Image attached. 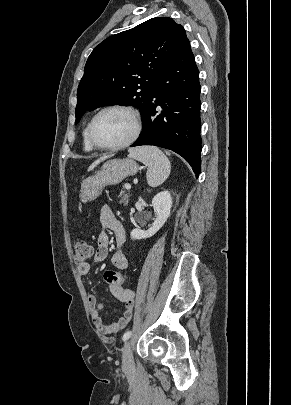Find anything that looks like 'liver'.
<instances>
[{
  "label": "liver",
  "mask_w": 291,
  "mask_h": 405,
  "mask_svg": "<svg viewBox=\"0 0 291 405\" xmlns=\"http://www.w3.org/2000/svg\"><path fill=\"white\" fill-rule=\"evenodd\" d=\"M106 157H102L96 160L88 169V171L93 170L100 162H102Z\"/></svg>",
  "instance_id": "1"
}]
</instances>
